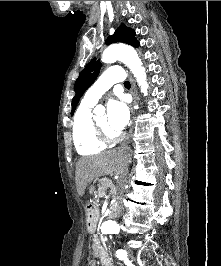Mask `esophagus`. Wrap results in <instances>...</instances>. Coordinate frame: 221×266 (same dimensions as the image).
Returning <instances> with one entry per match:
<instances>
[{"label":"esophagus","mask_w":221,"mask_h":266,"mask_svg":"<svg viewBox=\"0 0 221 266\" xmlns=\"http://www.w3.org/2000/svg\"><path fill=\"white\" fill-rule=\"evenodd\" d=\"M129 80H130V84H131V88H130V93L133 97V101H132V104H131V112H132V119L134 118V109H133V106L137 103L138 101V97H137V94H136V87H135V83H134V80L132 78V76L129 74ZM132 133H133V129L131 128L129 130V133L127 134V137L125 139V142L124 144H128L130 142V138L132 136Z\"/></svg>","instance_id":"34e87169"}]
</instances>
